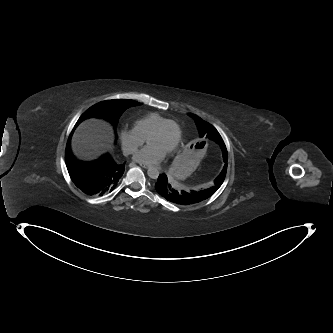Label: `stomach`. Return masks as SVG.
<instances>
[{
	"mask_svg": "<svg viewBox=\"0 0 333 333\" xmlns=\"http://www.w3.org/2000/svg\"><path fill=\"white\" fill-rule=\"evenodd\" d=\"M207 147L204 141L190 142L175 163L169 168V175L174 180H181L189 174H194L199 169V163L207 158Z\"/></svg>",
	"mask_w": 333,
	"mask_h": 333,
	"instance_id": "obj_1",
	"label": "stomach"
}]
</instances>
